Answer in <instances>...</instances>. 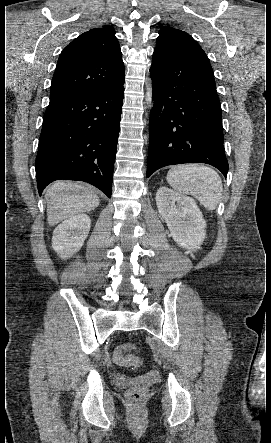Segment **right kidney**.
<instances>
[{
    "instance_id": "ca27d5eb",
    "label": "right kidney",
    "mask_w": 271,
    "mask_h": 443,
    "mask_svg": "<svg viewBox=\"0 0 271 443\" xmlns=\"http://www.w3.org/2000/svg\"><path fill=\"white\" fill-rule=\"evenodd\" d=\"M91 227V220L87 214L78 212L59 223L53 231L52 247L62 259L72 257L82 247Z\"/></svg>"
}]
</instances>
